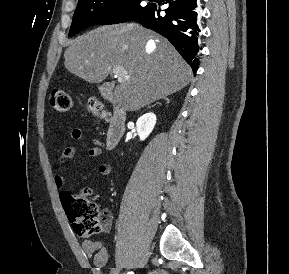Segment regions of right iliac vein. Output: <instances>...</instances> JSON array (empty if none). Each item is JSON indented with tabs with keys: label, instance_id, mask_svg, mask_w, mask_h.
<instances>
[{
	"label": "right iliac vein",
	"instance_id": "right-iliac-vein-1",
	"mask_svg": "<svg viewBox=\"0 0 289 274\" xmlns=\"http://www.w3.org/2000/svg\"><path fill=\"white\" fill-rule=\"evenodd\" d=\"M120 270H121L120 267L112 268L109 274H119Z\"/></svg>",
	"mask_w": 289,
	"mask_h": 274
}]
</instances>
